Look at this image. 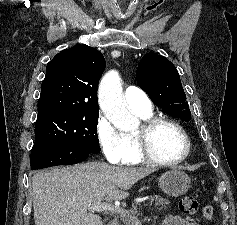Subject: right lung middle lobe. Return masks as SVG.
I'll use <instances>...</instances> for the list:
<instances>
[{
	"label": "right lung middle lobe",
	"mask_w": 237,
	"mask_h": 225,
	"mask_svg": "<svg viewBox=\"0 0 237 225\" xmlns=\"http://www.w3.org/2000/svg\"><path fill=\"white\" fill-rule=\"evenodd\" d=\"M99 112L58 115L36 121L35 141L65 144L89 153H99Z\"/></svg>",
	"instance_id": "obj_1"
}]
</instances>
